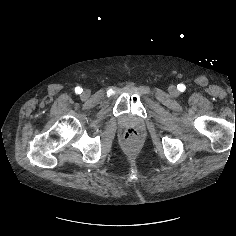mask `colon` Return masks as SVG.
Wrapping results in <instances>:
<instances>
[{
    "mask_svg": "<svg viewBox=\"0 0 236 236\" xmlns=\"http://www.w3.org/2000/svg\"><path fill=\"white\" fill-rule=\"evenodd\" d=\"M139 138V131L135 128H128L124 133L125 141H135Z\"/></svg>",
    "mask_w": 236,
    "mask_h": 236,
    "instance_id": "1",
    "label": "colon"
}]
</instances>
